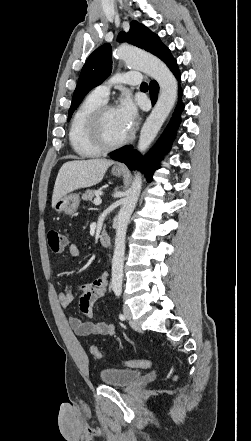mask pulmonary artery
I'll return each instance as SVG.
<instances>
[{
    "label": "pulmonary artery",
    "instance_id": "obj_1",
    "mask_svg": "<svg viewBox=\"0 0 251 441\" xmlns=\"http://www.w3.org/2000/svg\"><path fill=\"white\" fill-rule=\"evenodd\" d=\"M141 83V75L138 72L130 71L118 73L107 83L101 84L94 89V93L103 98L107 99L109 95V90L112 84H130L138 85Z\"/></svg>",
    "mask_w": 251,
    "mask_h": 441
}]
</instances>
